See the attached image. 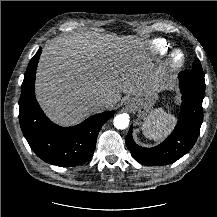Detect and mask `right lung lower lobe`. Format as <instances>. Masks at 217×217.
Returning a JSON list of instances; mask_svg holds the SVG:
<instances>
[{"mask_svg": "<svg viewBox=\"0 0 217 217\" xmlns=\"http://www.w3.org/2000/svg\"><path fill=\"white\" fill-rule=\"evenodd\" d=\"M40 54L41 48L24 74L19 100L21 130L31 149L45 162L57 166L81 165L94 153L98 133L114 111L91 116L79 125L68 128L51 122L35 98V74Z\"/></svg>", "mask_w": 217, "mask_h": 217, "instance_id": "1", "label": "right lung lower lobe"}]
</instances>
